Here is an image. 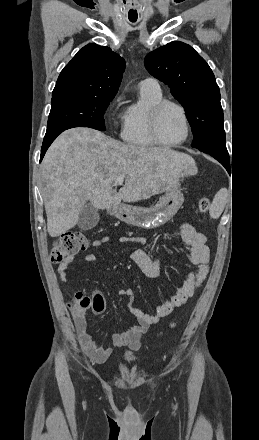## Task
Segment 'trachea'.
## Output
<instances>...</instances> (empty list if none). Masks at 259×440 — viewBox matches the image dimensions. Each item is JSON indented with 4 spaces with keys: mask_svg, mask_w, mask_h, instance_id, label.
Segmentation results:
<instances>
[{
    "mask_svg": "<svg viewBox=\"0 0 259 440\" xmlns=\"http://www.w3.org/2000/svg\"><path fill=\"white\" fill-rule=\"evenodd\" d=\"M130 21L134 23V22H136V19H134V20H133V19H130Z\"/></svg>",
    "mask_w": 259,
    "mask_h": 440,
    "instance_id": "trachea-1",
    "label": "trachea"
}]
</instances>
